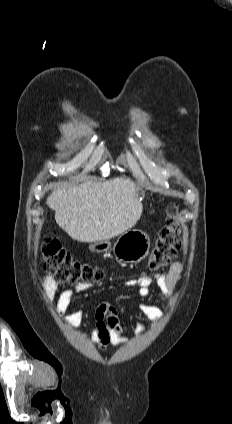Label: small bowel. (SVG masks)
Segmentation results:
<instances>
[{
  "label": "small bowel",
  "mask_w": 232,
  "mask_h": 424,
  "mask_svg": "<svg viewBox=\"0 0 232 424\" xmlns=\"http://www.w3.org/2000/svg\"><path fill=\"white\" fill-rule=\"evenodd\" d=\"M184 271V263L177 261L174 262L167 273H156L151 276H141L129 280L131 286L138 288V293L142 297L149 296L151 293V286L155 285L165 298H171L173 292L181 279ZM90 283L78 284L74 290L65 289L59 292L57 299V313L64 316L65 322L69 325H78L81 323L84 312L82 310H75L70 313L68 311L74 292L83 293L92 288ZM58 289L57 284L50 283L48 292L54 294ZM140 312L150 321H160L164 313L156 305L140 302ZM95 325L91 332L92 341L98 346L99 350L105 351L109 345L118 346L124 341L123 329L120 324L119 314L117 310L109 305L100 306L94 314ZM135 333L140 335L142 333V326L137 325Z\"/></svg>",
  "instance_id": "small-bowel-1"
}]
</instances>
